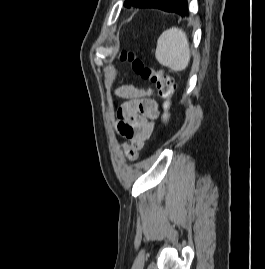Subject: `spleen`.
Masks as SVG:
<instances>
[{"instance_id": "spleen-1", "label": "spleen", "mask_w": 265, "mask_h": 269, "mask_svg": "<svg viewBox=\"0 0 265 269\" xmlns=\"http://www.w3.org/2000/svg\"><path fill=\"white\" fill-rule=\"evenodd\" d=\"M155 56L161 65L172 71L185 70L190 62V49L186 33L177 27L164 31L158 38Z\"/></svg>"}]
</instances>
